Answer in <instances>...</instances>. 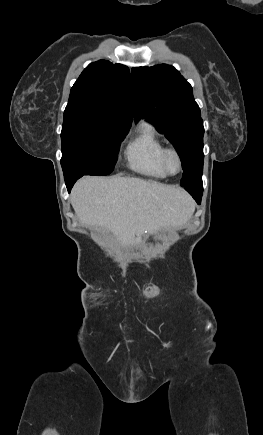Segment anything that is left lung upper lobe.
Returning <instances> with one entry per match:
<instances>
[{"label":"left lung upper lobe","mask_w":263,"mask_h":435,"mask_svg":"<svg viewBox=\"0 0 263 435\" xmlns=\"http://www.w3.org/2000/svg\"><path fill=\"white\" fill-rule=\"evenodd\" d=\"M135 120L146 118L177 150L184 170L182 186L202 182L204 128L191 85L172 66L132 69Z\"/></svg>","instance_id":"obj_1"}]
</instances>
